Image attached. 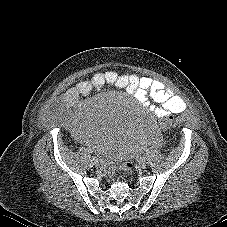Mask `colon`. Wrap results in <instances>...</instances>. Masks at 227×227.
Returning a JSON list of instances; mask_svg holds the SVG:
<instances>
[{
  "label": "colon",
  "instance_id": "5ec220e1",
  "mask_svg": "<svg viewBox=\"0 0 227 227\" xmlns=\"http://www.w3.org/2000/svg\"><path fill=\"white\" fill-rule=\"evenodd\" d=\"M183 124L182 119L174 112H167L161 118V125L167 131H174L179 129ZM106 167L109 171L115 169L113 161L109 160L106 163ZM132 168V163H126L125 170L129 171Z\"/></svg>",
  "mask_w": 227,
  "mask_h": 227
}]
</instances>
